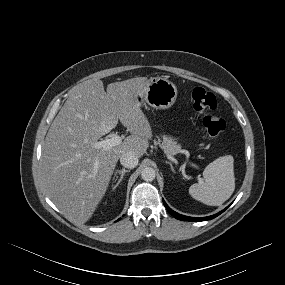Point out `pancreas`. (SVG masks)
Wrapping results in <instances>:
<instances>
[{
	"mask_svg": "<svg viewBox=\"0 0 285 285\" xmlns=\"http://www.w3.org/2000/svg\"><path fill=\"white\" fill-rule=\"evenodd\" d=\"M157 144H159L160 148L163 149L166 154L175 155L181 150V146L178 145L173 138L168 136H163V141L158 140Z\"/></svg>",
	"mask_w": 285,
	"mask_h": 285,
	"instance_id": "pancreas-1",
	"label": "pancreas"
}]
</instances>
